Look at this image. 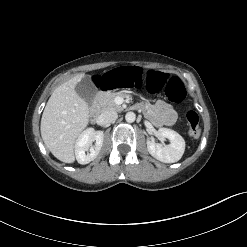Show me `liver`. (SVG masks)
Segmentation results:
<instances>
[{
  "label": "liver",
  "mask_w": 247,
  "mask_h": 247,
  "mask_svg": "<svg viewBox=\"0 0 247 247\" xmlns=\"http://www.w3.org/2000/svg\"><path fill=\"white\" fill-rule=\"evenodd\" d=\"M84 76V73L78 74L58 86L41 118L40 130L45 146L65 163L75 161V144L89 123L88 104L75 91Z\"/></svg>",
  "instance_id": "1"
}]
</instances>
